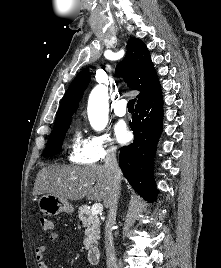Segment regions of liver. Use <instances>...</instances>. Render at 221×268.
I'll use <instances>...</instances> for the list:
<instances>
[{"label":"liver","instance_id":"1","mask_svg":"<svg viewBox=\"0 0 221 268\" xmlns=\"http://www.w3.org/2000/svg\"><path fill=\"white\" fill-rule=\"evenodd\" d=\"M53 194L66 200L111 201V179L104 165L48 166L37 174L33 195Z\"/></svg>","mask_w":221,"mask_h":268}]
</instances>
